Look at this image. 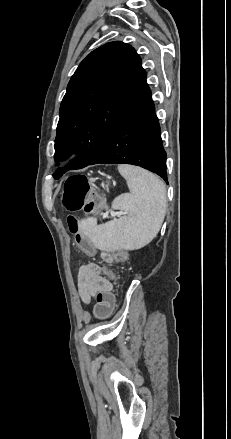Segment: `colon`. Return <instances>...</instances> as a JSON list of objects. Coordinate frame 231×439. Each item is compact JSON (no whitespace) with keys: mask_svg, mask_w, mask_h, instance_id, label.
I'll return each mask as SVG.
<instances>
[{"mask_svg":"<svg viewBox=\"0 0 231 439\" xmlns=\"http://www.w3.org/2000/svg\"><path fill=\"white\" fill-rule=\"evenodd\" d=\"M89 194L90 185L88 178L84 175H74L69 177L64 184L62 203L70 212L83 209L88 215L98 214V203L93 196L88 198ZM68 227L70 232L75 236L78 247L83 253L87 254V258L97 259L98 251L94 249L90 238L81 233L79 220L76 216L70 215L68 217ZM117 258L123 261L127 258V254L121 251L117 255ZM95 300V309L92 312L94 319L98 323L108 321L116 310V293L103 287L100 293L95 295Z\"/></svg>","mask_w":231,"mask_h":439,"instance_id":"obj_1","label":"colon"}]
</instances>
